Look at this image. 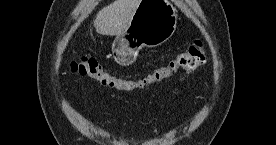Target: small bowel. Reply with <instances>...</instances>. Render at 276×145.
I'll return each mask as SVG.
<instances>
[{"label": "small bowel", "instance_id": "small-bowel-1", "mask_svg": "<svg viewBox=\"0 0 276 145\" xmlns=\"http://www.w3.org/2000/svg\"><path fill=\"white\" fill-rule=\"evenodd\" d=\"M185 79H186V75H183V76L180 77L179 80H180V81H183V80H185Z\"/></svg>", "mask_w": 276, "mask_h": 145}]
</instances>
